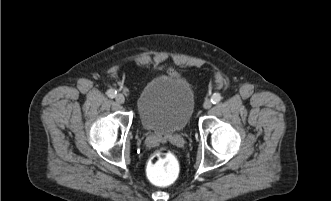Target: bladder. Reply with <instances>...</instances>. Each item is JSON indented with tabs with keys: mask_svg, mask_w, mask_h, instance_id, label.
<instances>
[{
	"mask_svg": "<svg viewBox=\"0 0 331 201\" xmlns=\"http://www.w3.org/2000/svg\"><path fill=\"white\" fill-rule=\"evenodd\" d=\"M136 108L139 122L146 131L162 136L179 133L194 112L193 89L183 79L157 76L140 91Z\"/></svg>",
	"mask_w": 331,
	"mask_h": 201,
	"instance_id": "1",
	"label": "bladder"
}]
</instances>
